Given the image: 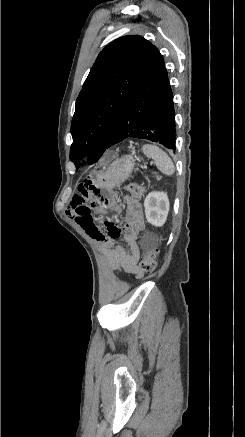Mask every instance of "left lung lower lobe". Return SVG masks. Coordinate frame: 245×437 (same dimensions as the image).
Returning a JSON list of instances; mask_svg holds the SVG:
<instances>
[{
	"label": "left lung lower lobe",
	"mask_w": 245,
	"mask_h": 437,
	"mask_svg": "<svg viewBox=\"0 0 245 437\" xmlns=\"http://www.w3.org/2000/svg\"><path fill=\"white\" fill-rule=\"evenodd\" d=\"M173 93L160 53L123 107L107 148L128 137L158 142L175 150Z\"/></svg>",
	"instance_id": "obj_1"
}]
</instances>
